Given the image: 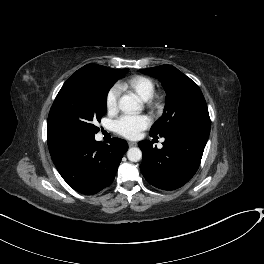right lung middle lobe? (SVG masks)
Here are the masks:
<instances>
[{"mask_svg": "<svg viewBox=\"0 0 264 264\" xmlns=\"http://www.w3.org/2000/svg\"><path fill=\"white\" fill-rule=\"evenodd\" d=\"M128 69L101 65L77 70L62 86L48 116V139L57 142L93 138L107 109V94Z\"/></svg>", "mask_w": 264, "mask_h": 264, "instance_id": "right-lung-middle-lobe-1", "label": "right lung middle lobe"}]
</instances>
